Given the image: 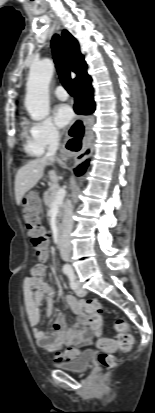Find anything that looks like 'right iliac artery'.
<instances>
[{"instance_id": "obj_1", "label": "right iliac artery", "mask_w": 155, "mask_h": 413, "mask_svg": "<svg viewBox=\"0 0 155 413\" xmlns=\"http://www.w3.org/2000/svg\"><path fill=\"white\" fill-rule=\"evenodd\" d=\"M68 272V270H65V273H67Z\"/></svg>"}]
</instances>
